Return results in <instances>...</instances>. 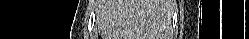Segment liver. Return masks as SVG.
I'll use <instances>...</instances> for the list:
<instances>
[{"label":"liver","instance_id":"6515ba94","mask_svg":"<svg viewBox=\"0 0 249 39\" xmlns=\"http://www.w3.org/2000/svg\"><path fill=\"white\" fill-rule=\"evenodd\" d=\"M170 0H105L99 6L103 39H164Z\"/></svg>","mask_w":249,"mask_h":39}]
</instances>
